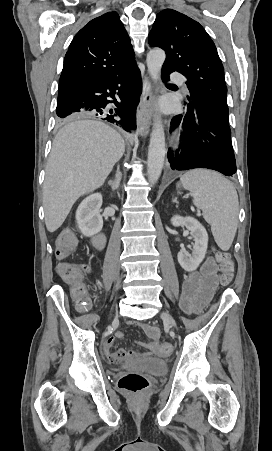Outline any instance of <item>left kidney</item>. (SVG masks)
I'll return each instance as SVG.
<instances>
[{"instance_id": "left-kidney-1", "label": "left kidney", "mask_w": 272, "mask_h": 451, "mask_svg": "<svg viewBox=\"0 0 272 451\" xmlns=\"http://www.w3.org/2000/svg\"><path fill=\"white\" fill-rule=\"evenodd\" d=\"M172 226H186L190 229L192 237H194V245L192 253H187V251H178L177 259L186 271H194L200 265L205 257V253L208 247V233L202 224L195 220V218H182V216H173L171 218Z\"/></svg>"}]
</instances>
